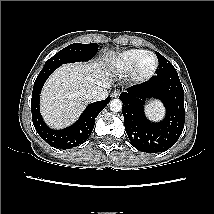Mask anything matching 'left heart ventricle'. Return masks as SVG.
<instances>
[{"instance_id":"1","label":"left heart ventricle","mask_w":214,"mask_h":214,"mask_svg":"<svg viewBox=\"0 0 214 214\" xmlns=\"http://www.w3.org/2000/svg\"><path fill=\"white\" fill-rule=\"evenodd\" d=\"M155 63V59L150 56L147 55L143 58L142 62H141V70L146 72L152 69V67L154 66Z\"/></svg>"}]
</instances>
